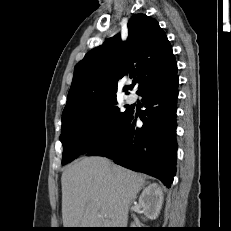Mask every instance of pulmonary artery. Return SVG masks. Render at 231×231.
Here are the masks:
<instances>
[{"label": "pulmonary artery", "mask_w": 231, "mask_h": 231, "mask_svg": "<svg viewBox=\"0 0 231 231\" xmlns=\"http://www.w3.org/2000/svg\"><path fill=\"white\" fill-rule=\"evenodd\" d=\"M125 99L128 104H133L136 101V96L134 94H129Z\"/></svg>", "instance_id": "1"}]
</instances>
